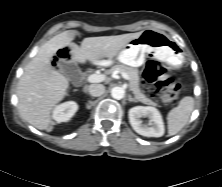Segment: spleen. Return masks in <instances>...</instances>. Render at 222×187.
<instances>
[{"label": "spleen", "instance_id": "spleen-1", "mask_svg": "<svg viewBox=\"0 0 222 187\" xmlns=\"http://www.w3.org/2000/svg\"><path fill=\"white\" fill-rule=\"evenodd\" d=\"M194 109V99L190 96L182 98L179 105L167 115L168 135L177 134L188 122Z\"/></svg>", "mask_w": 222, "mask_h": 187}]
</instances>
